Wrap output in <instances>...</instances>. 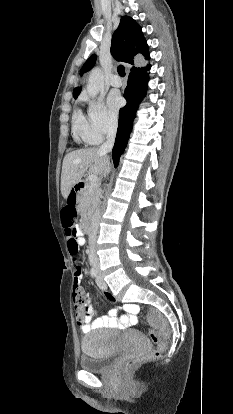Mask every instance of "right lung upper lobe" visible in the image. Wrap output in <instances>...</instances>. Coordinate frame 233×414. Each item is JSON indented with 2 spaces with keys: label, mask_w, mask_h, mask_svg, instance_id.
Wrapping results in <instances>:
<instances>
[{
  "label": "right lung upper lobe",
  "mask_w": 233,
  "mask_h": 414,
  "mask_svg": "<svg viewBox=\"0 0 233 414\" xmlns=\"http://www.w3.org/2000/svg\"><path fill=\"white\" fill-rule=\"evenodd\" d=\"M111 54L119 61L133 65L131 73L139 72L150 65L143 66L141 58L150 59L147 42L143 36L140 26L129 16H122L117 30L112 36ZM96 55H92L83 65L80 75L89 71L95 64ZM81 87L73 91L77 98Z\"/></svg>",
  "instance_id": "1"
}]
</instances>
